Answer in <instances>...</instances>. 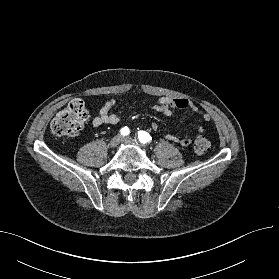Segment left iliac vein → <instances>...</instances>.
Masks as SVG:
<instances>
[{"mask_svg":"<svg viewBox=\"0 0 279 279\" xmlns=\"http://www.w3.org/2000/svg\"><path fill=\"white\" fill-rule=\"evenodd\" d=\"M122 142L125 144H132V145H138V143L136 142V140H134L131 137H123L122 138Z\"/></svg>","mask_w":279,"mask_h":279,"instance_id":"1","label":"left iliac vein"}]
</instances>
